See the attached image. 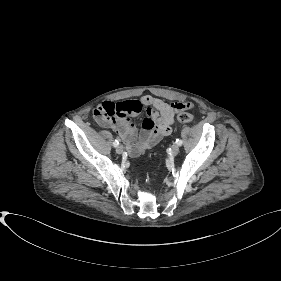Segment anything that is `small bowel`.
Here are the masks:
<instances>
[{
	"mask_svg": "<svg viewBox=\"0 0 281 281\" xmlns=\"http://www.w3.org/2000/svg\"><path fill=\"white\" fill-rule=\"evenodd\" d=\"M135 102L141 106V109L143 106L147 107L146 118L143 121V131L139 138H137V130L130 116L137 115L141 109L127 113L122 117H116L114 121L103 122L104 124H112L113 129L124 142L128 153L133 157H137L146 150L155 147L162 138L170 135L175 112L191 107L190 103L177 102L169 104L150 95L143 96L139 101H126L125 103L132 106ZM107 103L111 102H103L97 109Z\"/></svg>",
	"mask_w": 281,
	"mask_h": 281,
	"instance_id": "1",
	"label": "small bowel"
}]
</instances>
